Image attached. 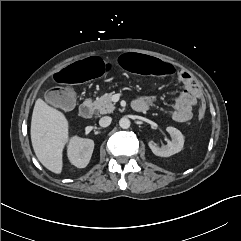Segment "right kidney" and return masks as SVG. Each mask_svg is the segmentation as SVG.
<instances>
[{
    "label": "right kidney",
    "instance_id": "obj_1",
    "mask_svg": "<svg viewBox=\"0 0 241 241\" xmlns=\"http://www.w3.org/2000/svg\"><path fill=\"white\" fill-rule=\"evenodd\" d=\"M93 149V140L74 136L68 145V158L77 168H85L91 159Z\"/></svg>",
    "mask_w": 241,
    "mask_h": 241
}]
</instances>
